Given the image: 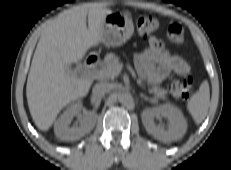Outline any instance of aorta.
Instances as JSON below:
<instances>
[{
	"label": "aorta",
	"mask_w": 231,
	"mask_h": 170,
	"mask_svg": "<svg viewBox=\"0 0 231 170\" xmlns=\"http://www.w3.org/2000/svg\"><path fill=\"white\" fill-rule=\"evenodd\" d=\"M118 100L120 103L128 105L133 101L132 95L128 92L118 94Z\"/></svg>",
	"instance_id": "aorta-1"
}]
</instances>
